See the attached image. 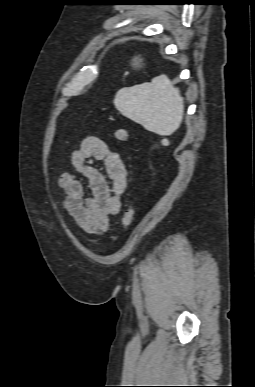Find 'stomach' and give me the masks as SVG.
<instances>
[{"label":"stomach","mask_w":255,"mask_h":387,"mask_svg":"<svg viewBox=\"0 0 255 387\" xmlns=\"http://www.w3.org/2000/svg\"><path fill=\"white\" fill-rule=\"evenodd\" d=\"M142 62L143 60L138 56L132 60V65L136 68H140L143 65Z\"/></svg>","instance_id":"1"}]
</instances>
